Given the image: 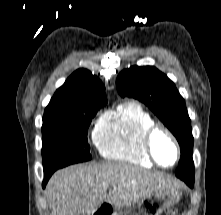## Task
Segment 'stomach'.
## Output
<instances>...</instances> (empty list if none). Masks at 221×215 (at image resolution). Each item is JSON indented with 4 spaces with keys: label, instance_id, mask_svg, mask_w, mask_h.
<instances>
[{
    "label": "stomach",
    "instance_id": "obj_1",
    "mask_svg": "<svg viewBox=\"0 0 221 215\" xmlns=\"http://www.w3.org/2000/svg\"><path fill=\"white\" fill-rule=\"evenodd\" d=\"M178 189L154 191L140 201L117 208L114 215H161L166 209L179 202Z\"/></svg>",
    "mask_w": 221,
    "mask_h": 215
}]
</instances>
